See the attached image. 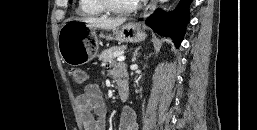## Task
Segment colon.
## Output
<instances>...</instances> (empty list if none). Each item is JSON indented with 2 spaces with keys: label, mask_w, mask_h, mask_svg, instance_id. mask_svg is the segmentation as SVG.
<instances>
[{
  "label": "colon",
  "mask_w": 257,
  "mask_h": 130,
  "mask_svg": "<svg viewBox=\"0 0 257 130\" xmlns=\"http://www.w3.org/2000/svg\"><path fill=\"white\" fill-rule=\"evenodd\" d=\"M68 74L74 82L81 84L86 80V73L83 69L77 67H69Z\"/></svg>",
  "instance_id": "1"
}]
</instances>
